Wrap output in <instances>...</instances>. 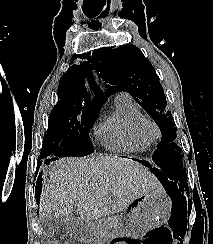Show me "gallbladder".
I'll use <instances>...</instances> for the list:
<instances>
[{
    "mask_svg": "<svg viewBox=\"0 0 213 244\" xmlns=\"http://www.w3.org/2000/svg\"><path fill=\"white\" fill-rule=\"evenodd\" d=\"M41 225L44 229V232L48 235H54L56 234L59 229H60V225H61V220L58 219H46L43 218L41 220Z\"/></svg>",
    "mask_w": 213,
    "mask_h": 244,
    "instance_id": "gallbladder-1",
    "label": "gallbladder"
}]
</instances>
